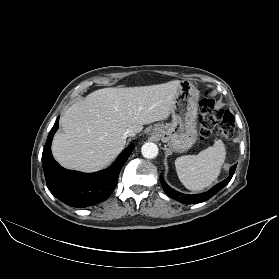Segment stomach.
Listing matches in <instances>:
<instances>
[{
  "label": "stomach",
  "mask_w": 279,
  "mask_h": 279,
  "mask_svg": "<svg viewBox=\"0 0 279 279\" xmlns=\"http://www.w3.org/2000/svg\"><path fill=\"white\" fill-rule=\"evenodd\" d=\"M199 91L190 81H181L173 98L172 121L156 124L154 134L176 152H185L197 140Z\"/></svg>",
  "instance_id": "stomach-1"
}]
</instances>
